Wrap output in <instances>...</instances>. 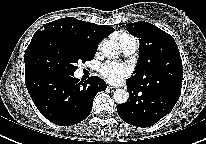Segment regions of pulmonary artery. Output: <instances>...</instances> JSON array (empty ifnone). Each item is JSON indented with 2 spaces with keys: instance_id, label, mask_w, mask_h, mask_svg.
Listing matches in <instances>:
<instances>
[{
  "instance_id": "pulmonary-artery-1",
  "label": "pulmonary artery",
  "mask_w": 206,
  "mask_h": 144,
  "mask_svg": "<svg viewBox=\"0 0 206 144\" xmlns=\"http://www.w3.org/2000/svg\"><path fill=\"white\" fill-rule=\"evenodd\" d=\"M120 43L125 55H132L133 53H135L137 49V41L135 40V38L130 37Z\"/></svg>"
}]
</instances>
